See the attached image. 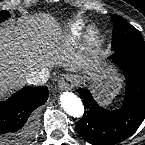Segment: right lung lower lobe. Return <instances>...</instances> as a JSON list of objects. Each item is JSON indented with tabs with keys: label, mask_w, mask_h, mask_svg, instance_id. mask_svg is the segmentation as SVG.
Here are the masks:
<instances>
[{
	"label": "right lung lower lobe",
	"mask_w": 145,
	"mask_h": 145,
	"mask_svg": "<svg viewBox=\"0 0 145 145\" xmlns=\"http://www.w3.org/2000/svg\"><path fill=\"white\" fill-rule=\"evenodd\" d=\"M46 87H25L0 102V137L4 141H21L32 133L31 113L48 99Z\"/></svg>",
	"instance_id": "1"
}]
</instances>
